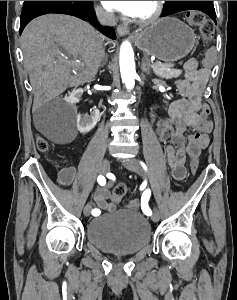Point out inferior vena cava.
Listing matches in <instances>:
<instances>
[{
  "mask_svg": "<svg viewBox=\"0 0 237 300\" xmlns=\"http://www.w3.org/2000/svg\"><path fill=\"white\" fill-rule=\"evenodd\" d=\"M97 19L101 25H108V27H115L117 25V17H115L114 13H107L104 9H95ZM104 55V53H103Z\"/></svg>",
  "mask_w": 237,
  "mask_h": 300,
  "instance_id": "obj_1",
  "label": "inferior vena cava"
}]
</instances>
